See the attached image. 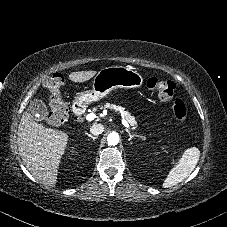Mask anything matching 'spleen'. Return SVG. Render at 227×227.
Listing matches in <instances>:
<instances>
[{"instance_id":"1","label":"spleen","mask_w":227,"mask_h":227,"mask_svg":"<svg viewBox=\"0 0 227 227\" xmlns=\"http://www.w3.org/2000/svg\"><path fill=\"white\" fill-rule=\"evenodd\" d=\"M200 157V151L196 147L188 148L183 153L181 159L170 170L162 186L172 187L185 180L195 169Z\"/></svg>"}]
</instances>
